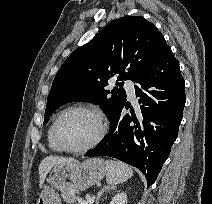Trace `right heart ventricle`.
Wrapping results in <instances>:
<instances>
[{
    "mask_svg": "<svg viewBox=\"0 0 212 204\" xmlns=\"http://www.w3.org/2000/svg\"><path fill=\"white\" fill-rule=\"evenodd\" d=\"M53 124L54 123H52V125L50 126V128L48 130V134H47L48 146L54 152H62L63 150L58 146V144L56 143L54 136H53Z\"/></svg>",
    "mask_w": 212,
    "mask_h": 204,
    "instance_id": "e07e8e85",
    "label": "right heart ventricle"
}]
</instances>
